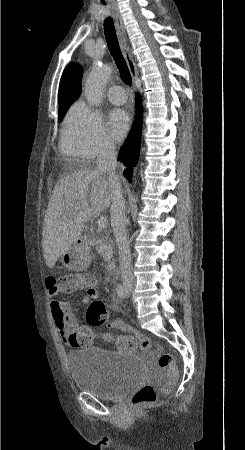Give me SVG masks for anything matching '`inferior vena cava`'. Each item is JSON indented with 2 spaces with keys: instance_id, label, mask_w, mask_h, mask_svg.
Masks as SVG:
<instances>
[{
  "instance_id": "602c4592",
  "label": "inferior vena cava",
  "mask_w": 245,
  "mask_h": 450,
  "mask_svg": "<svg viewBox=\"0 0 245 450\" xmlns=\"http://www.w3.org/2000/svg\"><path fill=\"white\" fill-rule=\"evenodd\" d=\"M117 155L115 146L110 141H105L97 156L98 170L107 174V180L112 187V204L110 208L111 225L119 250L120 271L124 285H132L133 275L131 267V254L126 235L125 199L121 192L120 182L115 175Z\"/></svg>"
}]
</instances>
